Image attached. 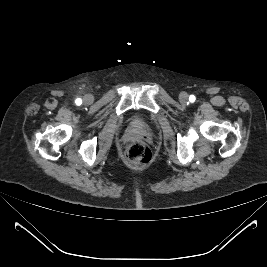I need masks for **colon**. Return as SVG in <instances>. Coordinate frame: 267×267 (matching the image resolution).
I'll list each match as a JSON object with an SVG mask.
<instances>
[{"label":"colon","mask_w":267,"mask_h":267,"mask_svg":"<svg viewBox=\"0 0 267 267\" xmlns=\"http://www.w3.org/2000/svg\"><path fill=\"white\" fill-rule=\"evenodd\" d=\"M125 159L134 165H145L150 162L152 152L142 140H131L124 147Z\"/></svg>","instance_id":"colon-1"}]
</instances>
